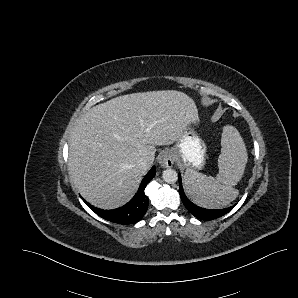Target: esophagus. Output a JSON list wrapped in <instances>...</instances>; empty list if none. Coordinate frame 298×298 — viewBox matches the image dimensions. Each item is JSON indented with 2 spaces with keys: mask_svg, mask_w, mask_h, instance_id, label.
Segmentation results:
<instances>
[{
  "mask_svg": "<svg viewBox=\"0 0 298 298\" xmlns=\"http://www.w3.org/2000/svg\"><path fill=\"white\" fill-rule=\"evenodd\" d=\"M163 168H171L174 165V156L170 150H164L158 160Z\"/></svg>",
  "mask_w": 298,
  "mask_h": 298,
  "instance_id": "esophagus-1",
  "label": "esophagus"
}]
</instances>
